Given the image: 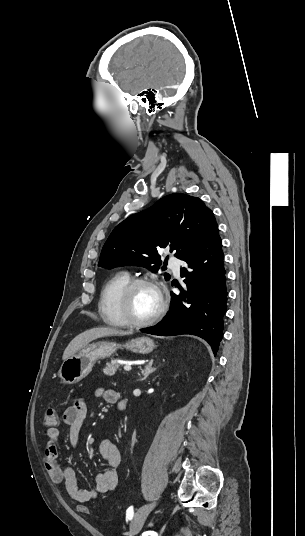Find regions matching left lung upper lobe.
Instances as JSON below:
<instances>
[{"mask_svg":"<svg viewBox=\"0 0 305 536\" xmlns=\"http://www.w3.org/2000/svg\"><path fill=\"white\" fill-rule=\"evenodd\" d=\"M217 227L212 211L198 197L171 194L117 225L102 249L99 266L135 265L157 272L160 248L169 247L182 260ZM165 278L170 275L165 273Z\"/></svg>","mask_w":305,"mask_h":536,"instance_id":"5c2ea615","label":"left lung upper lobe"}]
</instances>
